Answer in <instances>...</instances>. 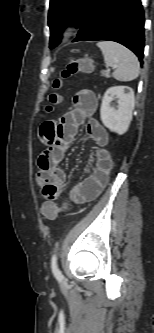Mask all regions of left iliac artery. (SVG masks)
<instances>
[{
	"mask_svg": "<svg viewBox=\"0 0 154 333\" xmlns=\"http://www.w3.org/2000/svg\"><path fill=\"white\" fill-rule=\"evenodd\" d=\"M51 268H52V272L54 274V276L56 277V279L58 280H62L63 279V275L61 273V271L58 268V264H57V254H53L52 258H51Z\"/></svg>",
	"mask_w": 154,
	"mask_h": 333,
	"instance_id": "1",
	"label": "left iliac artery"
}]
</instances>
